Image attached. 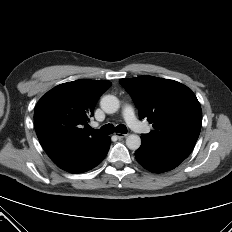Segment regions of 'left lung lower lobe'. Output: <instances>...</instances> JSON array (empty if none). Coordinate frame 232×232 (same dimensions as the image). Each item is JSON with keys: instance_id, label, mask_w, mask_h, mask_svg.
<instances>
[{"instance_id": "left-lung-lower-lobe-1", "label": "left lung lower lobe", "mask_w": 232, "mask_h": 232, "mask_svg": "<svg viewBox=\"0 0 232 232\" xmlns=\"http://www.w3.org/2000/svg\"><path fill=\"white\" fill-rule=\"evenodd\" d=\"M142 144L135 152L137 161L147 170L162 173L177 167L193 150L196 141L186 139L155 140L141 135Z\"/></svg>"}]
</instances>
